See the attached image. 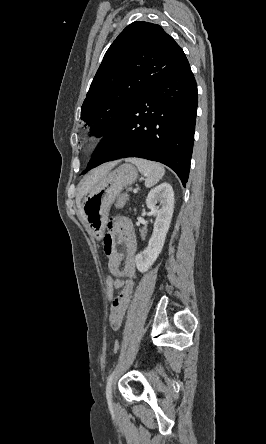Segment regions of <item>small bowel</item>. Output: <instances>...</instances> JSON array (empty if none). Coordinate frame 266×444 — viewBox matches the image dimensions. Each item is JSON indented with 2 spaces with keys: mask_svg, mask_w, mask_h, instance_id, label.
I'll return each instance as SVG.
<instances>
[{
  "mask_svg": "<svg viewBox=\"0 0 266 444\" xmlns=\"http://www.w3.org/2000/svg\"><path fill=\"white\" fill-rule=\"evenodd\" d=\"M119 244L124 245V252L118 249ZM103 249L108 259V269L116 278V288L121 289L109 312V325L113 330H118L129 306L136 276L137 241L128 218L117 216L109 221L108 231L103 239ZM122 262L124 266L121 268Z\"/></svg>",
  "mask_w": 266,
  "mask_h": 444,
  "instance_id": "obj_1",
  "label": "small bowel"
}]
</instances>
